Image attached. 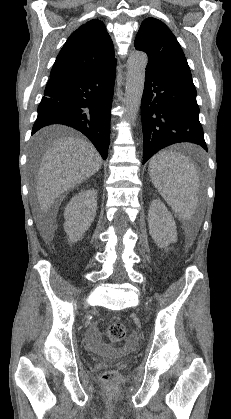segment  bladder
I'll return each instance as SVG.
<instances>
[{
	"label": "bladder",
	"mask_w": 231,
	"mask_h": 419,
	"mask_svg": "<svg viewBox=\"0 0 231 419\" xmlns=\"http://www.w3.org/2000/svg\"><path fill=\"white\" fill-rule=\"evenodd\" d=\"M94 359L95 360H99V358H94ZM104 360L110 361V362H123V361L127 360V357H124V356H114V357L105 358Z\"/></svg>",
	"instance_id": "obj_1"
}]
</instances>
